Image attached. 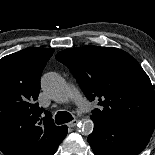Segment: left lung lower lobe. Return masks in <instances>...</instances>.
Here are the masks:
<instances>
[{"mask_svg":"<svg viewBox=\"0 0 155 155\" xmlns=\"http://www.w3.org/2000/svg\"><path fill=\"white\" fill-rule=\"evenodd\" d=\"M88 136L95 155H138L148 144L155 120L107 121L93 118Z\"/></svg>","mask_w":155,"mask_h":155,"instance_id":"obj_1","label":"left lung lower lobe"}]
</instances>
